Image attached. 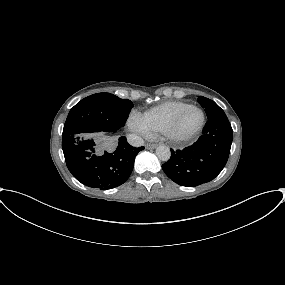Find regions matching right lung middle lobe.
<instances>
[{"label":"right lung middle lobe","instance_id":"1","mask_svg":"<svg viewBox=\"0 0 285 285\" xmlns=\"http://www.w3.org/2000/svg\"><path fill=\"white\" fill-rule=\"evenodd\" d=\"M133 103L110 93H97L78 102L69 112L63 138L97 132L114 133L125 125Z\"/></svg>","mask_w":285,"mask_h":285}]
</instances>
